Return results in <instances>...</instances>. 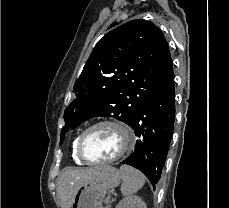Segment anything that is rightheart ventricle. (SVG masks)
<instances>
[{"label":"right heart ventricle","instance_id":"obj_1","mask_svg":"<svg viewBox=\"0 0 229 208\" xmlns=\"http://www.w3.org/2000/svg\"><path fill=\"white\" fill-rule=\"evenodd\" d=\"M80 133H78L77 135H75V137L72 140L71 143V156L73 161L78 164V165H84L86 164V162L82 159V158H77V143H78V139H79Z\"/></svg>","mask_w":229,"mask_h":208}]
</instances>
